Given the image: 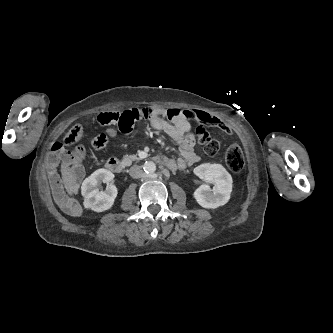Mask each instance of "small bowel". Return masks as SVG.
<instances>
[{"label":"small bowel","instance_id":"obj_1","mask_svg":"<svg viewBox=\"0 0 333 333\" xmlns=\"http://www.w3.org/2000/svg\"><path fill=\"white\" fill-rule=\"evenodd\" d=\"M147 110V117L144 120H137L134 117V110L136 108L127 110L129 113L130 124L122 128L123 133H128L131 130L134 122L148 121L153 130L165 131L176 143L179 144V151L181 158L167 159L164 163L170 169H184L187 164L197 163L200 158L194 151L195 139L190 133L191 122L195 121L208 126H218L219 130L225 134L231 133V127L219 120L217 117L210 115L208 112L202 110H181L179 108H163L159 106L144 107ZM107 133L109 136L114 137L117 135L115 128H108ZM85 153L82 147L78 148L74 153L65 152L62 155L51 154L52 164L57 163L63 165H74L77 177L83 175V167L81 161L84 160ZM50 183L54 195L59 199L60 204L68 213H77L76 206L72 200L65 198L62 195V184L56 173H52Z\"/></svg>","mask_w":333,"mask_h":333}]
</instances>
